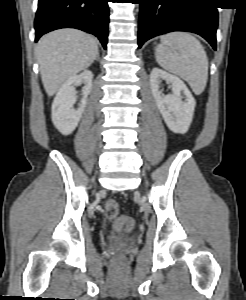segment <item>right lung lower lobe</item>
Returning a JSON list of instances; mask_svg holds the SVG:
<instances>
[{
  "label": "right lung lower lobe",
  "instance_id": "obj_1",
  "mask_svg": "<svg viewBox=\"0 0 246 300\" xmlns=\"http://www.w3.org/2000/svg\"><path fill=\"white\" fill-rule=\"evenodd\" d=\"M109 0H39L35 17V41L60 28H77L99 38L106 49Z\"/></svg>",
  "mask_w": 246,
  "mask_h": 300
}]
</instances>
